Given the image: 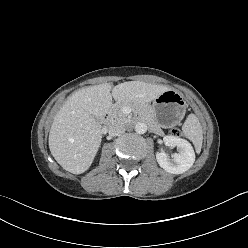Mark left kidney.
<instances>
[{
    "label": "left kidney",
    "mask_w": 248,
    "mask_h": 248,
    "mask_svg": "<svg viewBox=\"0 0 248 248\" xmlns=\"http://www.w3.org/2000/svg\"><path fill=\"white\" fill-rule=\"evenodd\" d=\"M163 141L169 147H177L178 153L169 158L165 152H157L156 159L160 167L173 174H182L192 167L195 153L188 141L176 136H165Z\"/></svg>",
    "instance_id": "obj_1"
}]
</instances>
